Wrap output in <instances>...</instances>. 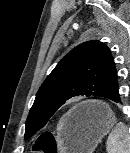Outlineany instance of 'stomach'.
<instances>
[{"label":"stomach","mask_w":130,"mask_h":153,"mask_svg":"<svg viewBox=\"0 0 130 153\" xmlns=\"http://www.w3.org/2000/svg\"><path fill=\"white\" fill-rule=\"evenodd\" d=\"M116 122L112 110L99 101L83 102L68 111L57 127V141L64 153H93Z\"/></svg>","instance_id":"obj_1"}]
</instances>
